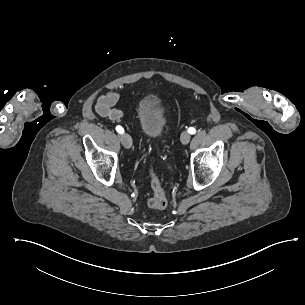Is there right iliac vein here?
<instances>
[{"instance_id":"right-iliac-vein-1","label":"right iliac vein","mask_w":305,"mask_h":305,"mask_svg":"<svg viewBox=\"0 0 305 305\" xmlns=\"http://www.w3.org/2000/svg\"><path fill=\"white\" fill-rule=\"evenodd\" d=\"M120 138H121V142L125 148L129 149L132 146V139H131L130 135L124 133L121 135Z\"/></svg>"}]
</instances>
